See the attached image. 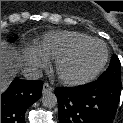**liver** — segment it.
Instances as JSON below:
<instances>
[{
    "mask_svg": "<svg viewBox=\"0 0 123 123\" xmlns=\"http://www.w3.org/2000/svg\"><path fill=\"white\" fill-rule=\"evenodd\" d=\"M20 68V52L12 45L1 41V93L7 89Z\"/></svg>",
    "mask_w": 123,
    "mask_h": 123,
    "instance_id": "1",
    "label": "liver"
}]
</instances>
